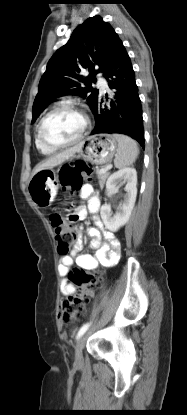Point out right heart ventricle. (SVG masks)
<instances>
[{
	"mask_svg": "<svg viewBox=\"0 0 187 415\" xmlns=\"http://www.w3.org/2000/svg\"><path fill=\"white\" fill-rule=\"evenodd\" d=\"M35 144H36L37 149L44 155H51L56 151V149H51V148H48L45 145H43L41 143V141L39 140L37 134H36V137H35Z\"/></svg>",
	"mask_w": 187,
	"mask_h": 415,
	"instance_id": "e07e8e85",
	"label": "right heart ventricle"
}]
</instances>
